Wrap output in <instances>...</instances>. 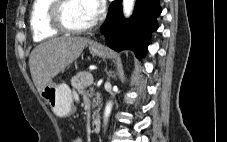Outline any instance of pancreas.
Masks as SVG:
<instances>
[{"instance_id": "cf45deb5", "label": "pancreas", "mask_w": 227, "mask_h": 142, "mask_svg": "<svg viewBox=\"0 0 227 142\" xmlns=\"http://www.w3.org/2000/svg\"><path fill=\"white\" fill-rule=\"evenodd\" d=\"M88 72L85 71H81L79 73H77L74 77H72L71 79V85L73 86V88H75L78 93H80L81 95L85 96L87 95L88 97H91L94 95L93 88L88 89V87L90 85H88L87 83V76H88ZM94 104L92 105V107H99L100 103H101V99L100 97L97 96L93 99ZM99 110H97L96 112H98ZM94 112V113H96Z\"/></svg>"}]
</instances>
